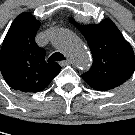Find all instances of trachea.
<instances>
[{
	"label": "trachea",
	"mask_w": 135,
	"mask_h": 135,
	"mask_svg": "<svg viewBox=\"0 0 135 135\" xmlns=\"http://www.w3.org/2000/svg\"><path fill=\"white\" fill-rule=\"evenodd\" d=\"M61 60H66V58L59 52H55L53 53L49 58L48 61L49 62H53V61H61Z\"/></svg>",
	"instance_id": "trachea-1"
}]
</instances>
